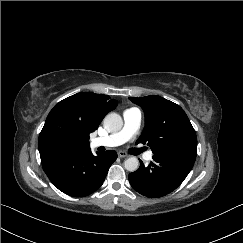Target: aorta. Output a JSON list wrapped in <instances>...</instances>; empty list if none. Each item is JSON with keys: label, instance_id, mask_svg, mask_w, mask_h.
<instances>
[{"label": "aorta", "instance_id": "1", "mask_svg": "<svg viewBox=\"0 0 243 243\" xmlns=\"http://www.w3.org/2000/svg\"><path fill=\"white\" fill-rule=\"evenodd\" d=\"M104 128L108 132H117L123 126V120L117 113H109L103 121ZM124 167L129 172H134L139 168V161L136 157H129L124 161Z\"/></svg>", "mask_w": 243, "mask_h": 243}]
</instances>
